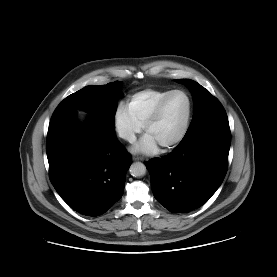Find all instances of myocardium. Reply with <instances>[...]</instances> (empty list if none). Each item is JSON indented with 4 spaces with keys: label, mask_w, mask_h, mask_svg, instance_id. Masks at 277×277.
<instances>
[{
    "label": "myocardium",
    "mask_w": 277,
    "mask_h": 277,
    "mask_svg": "<svg viewBox=\"0 0 277 277\" xmlns=\"http://www.w3.org/2000/svg\"><path fill=\"white\" fill-rule=\"evenodd\" d=\"M177 93H181L186 96L188 100V113L185 120V124L181 132L170 142L161 145V147L165 150L176 147L180 142L183 141V139L186 137L189 131L191 121H192V116H193V100L191 95L186 90H183V89H174L170 91L159 101V103L156 105L155 109L153 110L152 114L149 116V118L144 124V130L147 132L148 129L160 118L167 101Z\"/></svg>",
    "instance_id": "1"
}]
</instances>
